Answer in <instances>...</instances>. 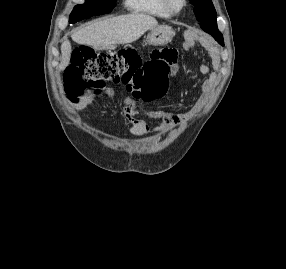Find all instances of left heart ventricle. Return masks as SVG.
<instances>
[{
  "mask_svg": "<svg viewBox=\"0 0 286 269\" xmlns=\"http://www.w3.org/2000/svg\"><path fill=\"white\" fill-rule=\"evenodd\" d=\"M175 3H176V5H179V2H178V0H175Z\"/></svg>",
  "mask_w": 286,
  "mask_h": 269,
  "instance_id": "left-heart-ventricle-1",
  "label": "left heart ventricle"
}]
</instances>
